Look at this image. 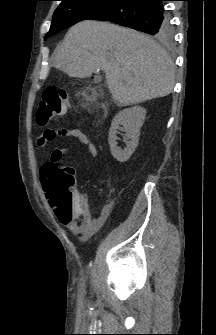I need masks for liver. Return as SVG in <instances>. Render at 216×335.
<instances>
[{
	"mask_svg": "<svg viewBox=\"0 0 216 335\" xmlns=\"http://www.w3.org/2000/svg\"><path fill=\"white\" fill-rule=\"evenodd\" d=\"M69 77L103 70L118 106L164 97L173 91L174 64L148 36L118 25L85 20L72 26L54 58Z\"/></svg>",
	"mask_w": 216,
	"mask_h": 335,
	"instance_id": "obj_1",
	"label": "liver"
}]
</instances>
